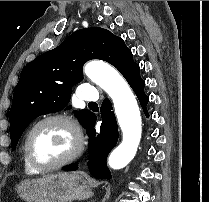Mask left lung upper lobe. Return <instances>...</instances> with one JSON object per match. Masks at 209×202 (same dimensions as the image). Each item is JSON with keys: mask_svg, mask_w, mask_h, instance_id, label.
I'll use <instances>...</instances> for the list:
<instances>
[{"mask_svg": "<svg viewBox=\"0 0 209 202\" xmlns=\"http://www.w3.org/2000/svg\"><path fill=\"white\" fill-rule=\"evenodd\" d=\"M91 59L107 61L123 76L137 65L122 38L110 31L99 27L75 31L58 47L38 56L23 68L9 113L12 149L33 119L67 106L71 87L82 81V67ZM73 113L84 128L95 116L86 109Z\"/></svg>", "mask_w": 209, "mask_h": 202, "instance_id": "left-lung-upper-lobe-1", "label": "left lung upper lobe"}]
</instances>
